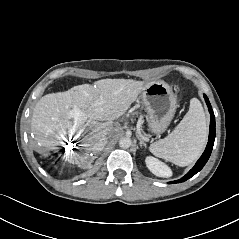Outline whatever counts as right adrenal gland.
<instances>
[{
  "label": "right adrenal gland",
  "instance_id": "2a0ac1e0",
  "mask_svg": "<svg viewBox=\"0 0 239 239\" xmlns=\"http://www.w3.org/2000/svg\"><path fill=\"white\" fill-rule=\"evenodd\" d=\"M95 158H97V157H96V156H95V157H93V160H94Z\"/></svg>",
  "mask_w": 239,
  "mask_h": 239
}]
</instances>
